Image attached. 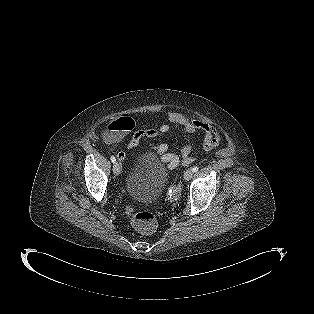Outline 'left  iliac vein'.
Here are the masks:
<instances>
[{"label": "left iliac vein", "mask_w": 314, "mask_h": 314, "mask_svg": "<svg viewBox=\"0 0 314 314\" xmlns=\"http://www.w3.org/2000/svg\"><path fill=\"white\" fill-rule=\"evenodd\" d=\"M193 176V170L191 168L187 169L185 172H184V179L186 181H189Z\"/></svg>", "instance_id": "left-iliac-vein-1"}]
</instances>
